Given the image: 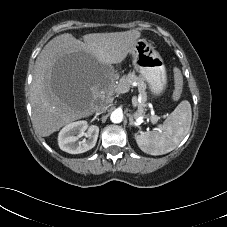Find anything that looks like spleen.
<instances>
[{
    "label": "spleen",
    "instance_id": "spleen-1",
    "mask_svg": "<svg viewBox=\"0 0 227 227\" xmlns=\"http://www.w3.org/2000/svg\"><path fill=\"white\" fill-rule=\"evenodd\" d=\"M192 119L191 105L182 101L167 117L158 131L135 136L139 148L150 155H163L174 150L187 135Z\"/></svg>",
    "mask_w": 227,
    "mask_h": 227
}]
</instances>
